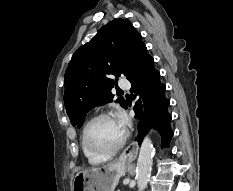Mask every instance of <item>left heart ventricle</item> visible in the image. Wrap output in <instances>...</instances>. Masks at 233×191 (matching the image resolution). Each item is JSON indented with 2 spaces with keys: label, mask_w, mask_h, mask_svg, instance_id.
<instances>
[{
  "label": "left heart ventricle",
  "mask_w": 233,
  "mask_h": 191,
  "mask_svg": "<svg viewBox=\"0 0 233 191\" xmlns=\"http://www.w3.org/2000/svg\"><path fill=\"white\" fill-rule=\"evenodd\" d=\"M124 130L115 119L98 121L90 132L91 145L102 151L116 146L124 136Z\"/></svg>",
  "instance_id": "obj_1"
}]
</instances>
